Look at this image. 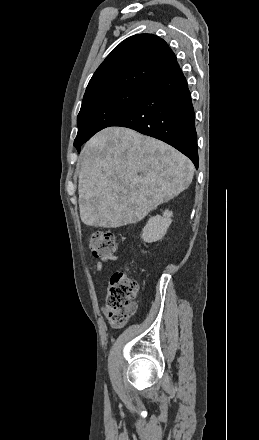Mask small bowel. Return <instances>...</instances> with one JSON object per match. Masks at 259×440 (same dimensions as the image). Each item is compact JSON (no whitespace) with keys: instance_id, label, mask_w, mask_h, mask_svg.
<instances>
[{"instance_id":"c3829d8e","label":"small bowel","mask_w":259,"mask_h":440,"mask_svg":"<svg viewBox=\"0 0 259 440\" xmlns=\"http://www.w3.org/2000/svg\"><path fill=\"white\" fill-rule=\"evenodd\" d=\"M118 258L119 257L117 255L103 257L101 261H97L91 266V270L93 272H102L104 268V263L115 261Z\"/></svg>"}]
</instances>
